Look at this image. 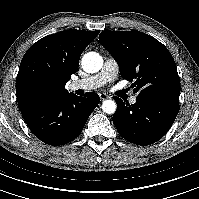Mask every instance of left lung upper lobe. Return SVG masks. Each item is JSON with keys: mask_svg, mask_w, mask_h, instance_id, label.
Segmentation results:
<instances>
[{"mask_svg": "<svg viewBox=\"0 0 199 199\" xmlns=\"http://www.w3.org/2000/svg\"><path fill=\"white\" fill-rule=\"evenodd\" d=\"M99 43L119 65L123 79L151 100L179 105L180 80L168 49L155 38L140 31H102Z\"/></svg>", "mask_w": 199, "mask_h": 199, "instance_id": "1", "label": "left lung upper lobe"}]
</instances>
